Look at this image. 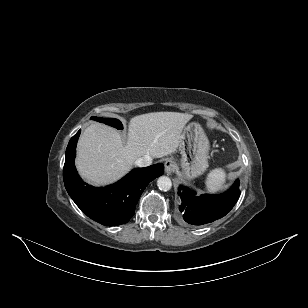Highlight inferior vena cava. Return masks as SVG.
Here are the masks:
<instances>
[{"mask_svg":"<svg viewBox=\"0 0 308 308\" xmlns=\"http://www.w3.org/2000/svg\"><path fill=\"white\" fill-rule=\"evenodd\" d=\"M135 164L139 167L150 166L152 164V158L150 156H144V157L138 158L135 161Z\"/></svg>","mask_w":308,"mask_h":308,"instance_id":"obj_1","label":"inferior vena cava"}]
</instances>
